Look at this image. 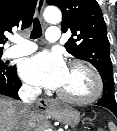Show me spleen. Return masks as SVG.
I'll list each match as a JSON object with an SVG mask.
<instances>
[{
  "label": "spleen",
  "mask_w": 117,
  "mask_h": 131,
  "mask_svg": "<svg viewBox=\"0 0 117 131\" xmlns=\"http://www.w3.org/2000/svg\"><path fill=\"white\" fill-rule=\"evenodd\" d=\"M108 126H109L110 131H117V128L113 122H109Z\"/></svg>",
  "instance_id": "obj_1"
}]
</instances>
